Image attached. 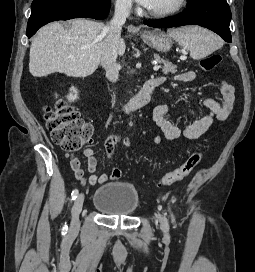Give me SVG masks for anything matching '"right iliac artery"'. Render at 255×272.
<instances>
[{"instance_id":"1","label":"right iliac artery","mask_w":255,"mask_h":272,"mask_svg":"<svg viewBox=\"0 0 255 272\" xmlns=\"http://www.w3.org/2000/svg\"><path fill=\"white\" fill-rule=\"evenodd\" d=\"M78 193H79L78 189H75V190L72 191V193H71V201H73V200H75L77 198ZM67 229H68V227H67V225H65L63 227V231H67Z\"/></svg>"}]
</instances>
